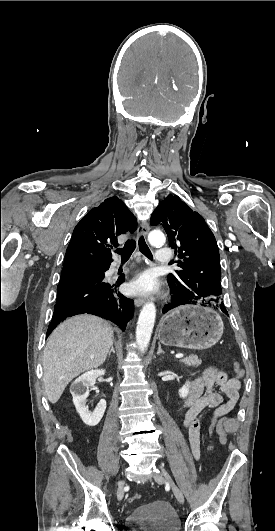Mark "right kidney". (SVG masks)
Returning <instances> with one entry per match:
<instances>
[{
  "label": "right kidney",
  "instance_id": "obj_1",
  "mask_svg": "<svg viewBox=\"0 0 275 531\" xmlns=\"http://www.w3.org/2000/svg\"><path fill=\"white\" fill-rule=\"evenodd\" d=\"M105 375L103 369H95V371H87L78 379H75L70 387V393L73 397V403L77 413H79L83 423L88 427H96L100 423L106 409L105 399L99 401L97 407H95L93 413H89L86 405V399L89 395V387H93L98 377Z\"/></svg>",
  "mask_w": 275,
  "mask_h": 531
}]
</instances>
